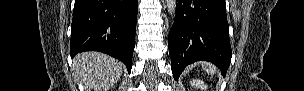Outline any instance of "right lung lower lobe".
Segmentation results:
<instances>
[{
    "instance_id": "obj_1",
    "label": "right lung lower lobe",
    "mask_w": 304,
    "mask_h": 91,
    "mask_svg": "<svg viewBox=\"0 0 304 91\" xmlns=\"http://www.w3.org/2000/svg\"><path fill=\"white\" fill-rule=\"evenodd\" d=\"M138 0H75L70 55L100 51L121 60L131 72Z\"/></svg>"
}]
</instances>
